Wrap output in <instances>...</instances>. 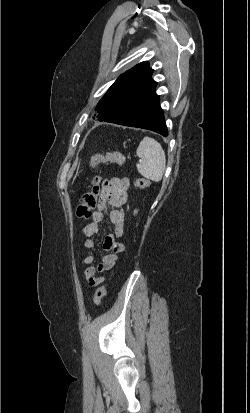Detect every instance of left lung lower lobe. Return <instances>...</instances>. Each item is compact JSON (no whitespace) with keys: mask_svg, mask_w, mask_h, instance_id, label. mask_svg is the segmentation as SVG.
<instances>
[{"mask_svg":"<svg viewBox=\"0 0 250 413\" xmlns=\"http://www.w3.org/2000/svg\"><path fill=\"white\" fill-rule=\"evenodd\" d=\"M156 85L155 81L138 85L135 91L122 101L117 113L98 120L147 129L167 136L163 110L159 105V96L155 93Z\"/></svg>","mask_w":250,"mask_h":413,"instance_id":"0a47b994","label":"left lung lower lobe"}]
</instances>
